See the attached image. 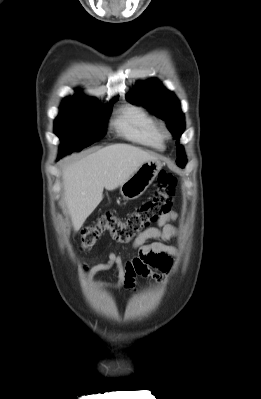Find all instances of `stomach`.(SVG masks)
<instances>
[{
    "instance_id": "stomach-1",
    "label": "stomach",
    "mask_w": 261,
    "mask_h": 399,
    "mask_svg": "<svg viewBox=\"0 0 261 399\" xmlns=\"http://www.w3.org/2000/svg\"><path fill=\"white\" fill-rule=\"evenodd\" d=\"M161 167L159 160H149L140 165L130 178L120 185L123 198L133 200L140 197L154 181Z\"/></svg>"
}]
</instances>
